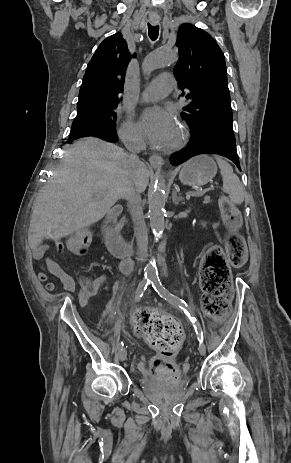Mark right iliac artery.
<instances>
[{
  "label": "right iliac artery",
  "instance_id": "1",
  "mask_svg": "<svg viewBox=\"0 0 291 463\" xmlns=\"http://www.w3.org/2000/svg\"><path fill=\"white\" fill-rule=\"evenodd\" d=\"M151 282V277H145L138 285V288H137V291H136V296H135V299L136 301H140V299L142 298L143 296V293L144 291L147 289V286L150 284ZM123 346V342H121L119 345H118V349H120L121 347Z\"/></svg>",
  "mask_w": 291,
  "mask_h": 463
}]
</instances>
